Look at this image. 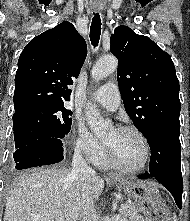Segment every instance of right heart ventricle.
Wrapping results in <instances>:
<instances>
[{
	"instance_id": "1",
	"label": "right heart ventricle",
	"mask_w": 190,
	"mask_h": 221,
	"mask_svg": "<svg viewBox=\"0 0 190 221\" xmlns=\"http://www.w3.org/2000/svg\"><path fill=\"white\" fill-rule=\"evenodd\" d=\"M92 162L94 165H96L100 168H104V169L113 167V165L108 160V158L105 154L104 148H103L102 152L92 160Z\"/></svg>"
}]
</instances>
